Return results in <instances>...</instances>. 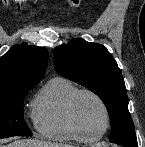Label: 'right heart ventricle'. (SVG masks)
<instances>
[{
    "label": "right heart ventricle",
    "instance_id": "obj_1",
    "mask_svg": "<svg viewBox=\"0 0 145 147\" xmlns=\"http://www.w3.org/2000/svg\"><path fill=\"white\" fill-rule=\"evenodd\" d=\"M78 87L69 79L53 77L32 102L31 116L37 133L58 142L87 141L68 116V101Z\"/></svg>",
    "mask_w": 145,
    "mask_h": 147
}]
</instances>
